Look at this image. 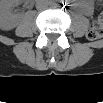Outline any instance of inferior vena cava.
I'll return each mask as SVG.
<instances>
[{"label": "inferior vena cava", "instance_id": "1", "mask_svg": "<svg viewBox=\"0 0 103 103\" xmlns=\"http://www.w3.org/2000/svg\"><path fill=\"white\" fill-rule=\"evenodd\" d=\"M49 3L46 0H39L36 2V9L37 10H44L48 8Z\"/></svg>", "mask_w": 103, "mask_h": 103}]
</instances>
